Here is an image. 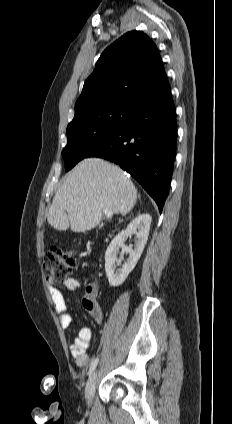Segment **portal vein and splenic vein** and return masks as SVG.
I'll return each instance as SVG.
<instances>
[{"label": "portal vein and splenic vein", "instance_id": "1", "mask_svg": "<svg viewBox=\"0 0 232 424\" xmlns=\"http://www.w3.org/2000/svg\"><path fill=\"white\" fill-rule=\"evenodd\" d=\"M104 214L106 215V217L108 218V219H110L112 216H113V212L112 211H110L109 209H104Z\"/></svg>", "mask_w": 232, "mask_h": 424}]
</instances>
